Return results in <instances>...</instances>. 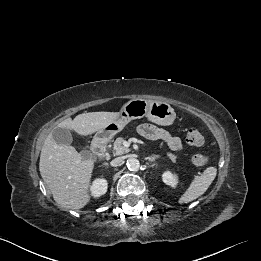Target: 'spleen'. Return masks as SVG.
I'll return each instance as SVG.
<instances>
[{"instance_id": "1", "label": "spleen", "mask_w": 261, "mask_h": 261, "mask_svg": "<svg viewBox=\"0 0 261 261\" xmlns=\"http://www.w3.org/2000/svg\"><path fill=\"white\" fill-rule=\"evenodd\" d=\"M216 174L215 167H208L201 175L195 176L187 191L179 199V203H189L203 195L215 179Z\"/></svg>"}]
</instances>
